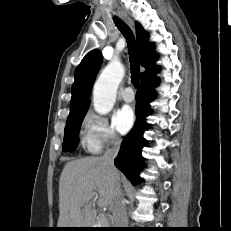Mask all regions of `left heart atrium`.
I'll return each instance as SVG.
<instances>
[{
    "label": "left heart atrium",
    "instance_id": "left-heart-atrium-1",
    "mask_svg": "<svg viewBox=\"0 0 231 231\" xmlns=\"http://www.w3.org/2000/svg\"><path fill=\"white\" fill-rule=\"evenodd\" d=\"M134 119L133 110L129 106H124L115 114L114 124L117 130L124 134L131 129Z\"/></svg>",
    "mask_w": 231,
    "mask_h": 231
}]
</instances>
